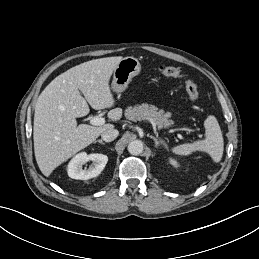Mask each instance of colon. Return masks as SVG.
<instances>
[{
    "label": "colon",
    "instance_id": "colon-1",
    "mask_svg": "<svg viewBox=\"0 0 259 259\" xmlns=\"http://www.w3.org/2000/svg\"><path fill=\"white\" fill-rule=\"evenodd\" d=\"M159 72L163 76L172 77V78H179L184 81V86L186 93L190 100L198 101L200 99V93L197 83L188 77L181 69L173 67V66H160Z\"/></svg>",
    "mask_w": 259,
    "mask_h": 259
}]
</instances>
